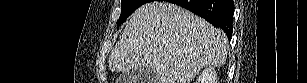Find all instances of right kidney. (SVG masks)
Segmentation results:
<instances>
[{
	"label": "right kidney",
	"mask_w": 307,
	"mask_h": 83,
	"mask_svg": "<svg viewBox=\"0 0 307 83\" xmlns=\"http://www.w3.org/2000/svg\"><path fill=\"white\" fill-rule=\"evenodd\" d=\"M196 83H217V73L213 67H206L197 78Z\"/></svg>",
	"instance_id": "ca27d5eb"
}]
</instances>
